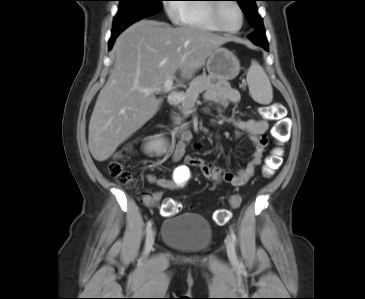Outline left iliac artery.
Here are the masks:
<instances>
[{
	"mask_svg": "<svg viewBox=\"0 0 365 299\" xmlns=\"http://www.w3.org/2000/svg\"><path fill=\"white\" fill-rule=\"evenodd\" d=\"M230 234H231L232 240L234 241V243H236L237 242V237H236L235 232L233 230H231Z\"/></svg>",
	"mask_w": 365,
	"mask_h": 299,
	"instance_id": "obj_1",
	"label": "left iliac artery"
}]
</instances>
